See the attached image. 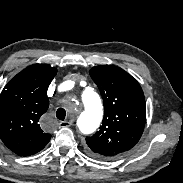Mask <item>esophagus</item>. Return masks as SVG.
<instances>
[{
  "label": "esophagus",
  "instance_id": "obj_1",
  "mask_svg": "<svg viewBox=\"0 0 183 183\" xmlns=\"http://www.w3.org/2000/svg\"><path fill=\"white\" fill-rule=\"evenodd\" d=\"M60 127H69L72 124V121H61L60 123Z\"/></svg>",
  "mask_w": 183,
  "mask_h": 183
}]
</instances>
